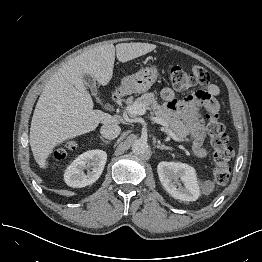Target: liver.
I'll list each match as a JSON object with an SVG mask.
<instances>
[{
	"instance_id": "liver-1",
	"label": "liver",
	"mask_w": 262,
	"mask_h": 262,
	"mask_svg": "<svg viewBox=\"0 0 262 262\" xmlns=\"http://www.w3.org/2000/svg\"><path fill=\"white\" fill-rule=\"evenodd\" d=\"M149 43H120L90 49L65 63L45 85L36 104L30 127V146L40 168L46 169L54 148L68 139L89 133L99 123H120L121 119L93 110L83 74L93 75L106 86L113 76L115 51L120 62H128L153 51Z\"/></svg>"
}]
</instances>
